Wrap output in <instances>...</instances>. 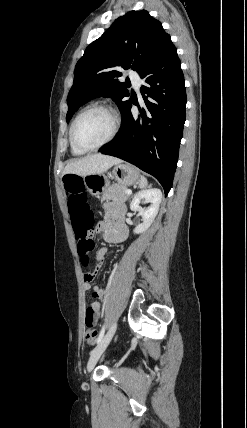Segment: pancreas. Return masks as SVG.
<instances>
[{
	"label": "pancreas",
	"instance_id": "cf45deb5",
	"mask_svg": "<svg viewBox=\"0 0 247 428\" xmlns=\"http://www.w3.org/2000/svg\"><path fill=\"white\" fill-rule=\"evenodd\" d=\"M126 190L127 187L120 184L110 185L103 192L101 201L112 200L115 202L122 203L126 201L129 197V195L125 193Z\"/></svg>",
	"mask_w": 247,
	"mask_h": 428
}]
</instances>
